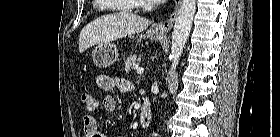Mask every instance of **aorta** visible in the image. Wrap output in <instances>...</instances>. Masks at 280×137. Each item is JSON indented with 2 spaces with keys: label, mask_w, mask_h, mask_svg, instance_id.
Instances as JSON below:
<instances>
[{
  "label": "aorta",
  "mask_w": 280,
  "mask_h": 137,
  "mask_svg": "<svg viewBox=\"0 0 280 137\" xmlns=\"http://www.w3.org/2000/svg\"><path fill=\"white\" fill-rule=\"evenodd\" d=\"M195 12L196 0L182 1L172 32L171 53L169 55L172 62L171 70L169 72L170 76L178 66L179 59L192 28Z\"/></svg>",
  "instance_id": "1"
}]
</instances>
